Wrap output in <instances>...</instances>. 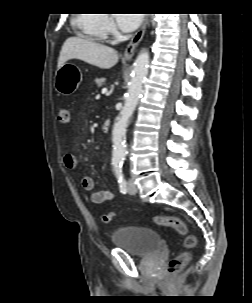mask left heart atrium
<instances>
[{
  "label": "left heart atrium",
  "instance_id": "39dd6f15",
  "mask_svg": "<svg viewBox=\"0 0 252 303\" xmlns=\"http://www.w3.org/2000/svg\"><path fill=\"white\" fill-rule=\"evenodd\" d=\"M115 18L118 27L122 31L130 32L139 26L142 16L140 14L136 16L134 14H115Z\"/></svg>",
  "mask_w": 252,
  "mask_h": 303
}]
</instances>
